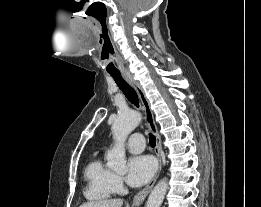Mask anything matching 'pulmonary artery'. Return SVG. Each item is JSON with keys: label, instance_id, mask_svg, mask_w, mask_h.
Listing matches in <instances>:
<instances>
[{"label": "pulmonary artery", "instance_id": "obj_1", "mask_svg": "<svg viewBox=\"0 0 261 207\" xmlns=\"http://www.w3.org/2000/svg\"><path fill=\"white\" fill-rule=\"evenodd\" d=\"M145 141L140 133L133 134L127 142V149L131 153H140L144 150Z\"/></svg>", "mask_w": 261, "mask_h": 207}]
</instances>
